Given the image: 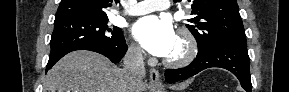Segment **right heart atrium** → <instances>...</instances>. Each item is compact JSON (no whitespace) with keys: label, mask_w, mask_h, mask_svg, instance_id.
Listing matches in <instances>:
<instances>
[{"label":"right heart atrium","mask_w":289,"mask_h":92,"mask_svg":"<svg viewBox=\"0 0 289 92\" xmlns=\"http://www.w3.org/2000/svg\"><path fill=\"white\" fill-rule=\"evenodd\" d=\"M127 54L128 57L135 62H141L143 60L142 49L134 43L129 44Z\"/></svg>","instance_id":"1"}]
</instances>
